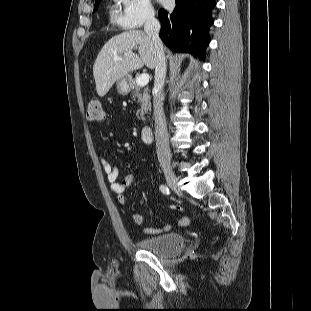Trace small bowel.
<instances>
[{
	"instance_id": "c3829d8e",
	"label": "small bowel",
	"mask_w": 311,
	"mask_h": 311,
	"mask_svg": "<svg viewBox=\"0 0 311 311\" xmlns=\"http://www.w3.org/2000/svg\"><path fill=\"white\" fill-rule=\"evenodd\" d=\"M100 162L104 173L107 176V180L111 185V190L117 195L118 202L122 205L126 203V197L124 192L126 188L133 184L135 177L132 174L125 175L121 180H119V171L117 167L112 164L110 161L100 156ZM133 222L135 224L141 225L145 221V217L142 214H132L131 216ZM188 224V220L186 218H180L177 221L178 226H186ZM172 228L171 224H165L160 228L156 227H147L144 229L146 234L155 235L164 232L170 231Z\"/></svg>"
}]
</instances>
